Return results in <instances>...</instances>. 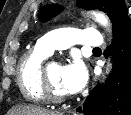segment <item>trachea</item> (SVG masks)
I'll use <instances>...</instances> for the list:
<instances>
[{"mask_svg":"<svg viewBox=\"0 0 131 115\" xmlns=\"http://www.w3.org/2000/svg\"><path fill=\"white\" fill-rule=\"evenodd\" d=\"M93 50H101L100 48H98V47H96V48H94Z\"/></svg>","mask_w":131,"mask_h":115,"instance_id":"trachea-1","label":"trachea"}]
</instances>
